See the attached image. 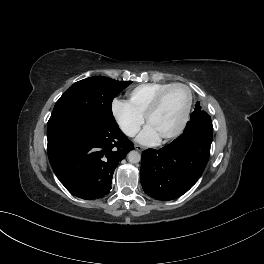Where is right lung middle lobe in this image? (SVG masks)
<instances>
[{
  "label": "right lung middle lobe",
  "instance_id": "obj_1",
  "mask_svg": "<svg viewBox=\"0 0 264 264\" xmlns=\"http://www.w3.org/2000/svg\"><path fill=\"white\" fill-rule=\"evenodd\" d=\"M132 81L90 77L74 83L57 101L48 121L47 135L78 121L115 122L112 101Z\"/></svg>",
  "mask_w": 264,
  "mask_h": 264
}]
</instances>
